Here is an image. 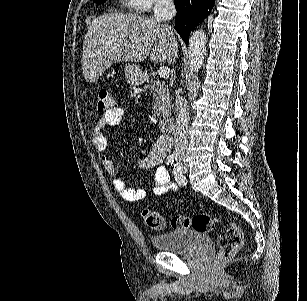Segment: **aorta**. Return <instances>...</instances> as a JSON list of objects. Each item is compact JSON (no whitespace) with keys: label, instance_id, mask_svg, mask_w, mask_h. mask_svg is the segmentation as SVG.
<instances>
[{"label":"aorta","instance_id":"762f6f07","mask_svg":"<svg viewBox=\"0 0 307 301\" xmlns=\"http://www.w3.org/2000/svg\"><path fill=\"white\" fill-rule=\"evenodd\" d=\"M206 42L207 36L202 28L195 30V32H193L189 38L188 54L191 70H193V72H199L200 68H202L204 64Z\"/></svg>","mask_w":307,"mask_h":301}]
</instances>
